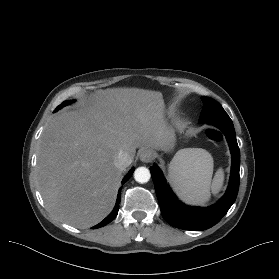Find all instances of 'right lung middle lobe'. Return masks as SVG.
<instances>
[{
	"mask_svg": "<svg viewBox=\"0 0 279 279\" xmlns=\"http://www.w3.org/2000/svg\"><path fill=\"white\" fill-rule=\"evenodd\" d=\"M72 102H73V101H64L61 105H59V106L56 108V110L62 108L63 106H66V105H68V104H70V103H72ZM56 110H55V111H56Z\"/></svg>",
	"mask_w": 279,
	"mask_h": 279,
	"instance_id": "dd1d6c3e",
	"label": "right lung middle lobe"
}]
</instances>
